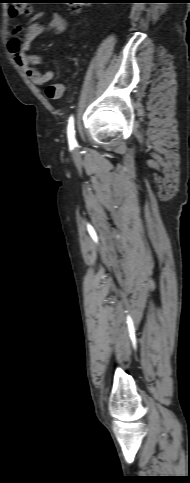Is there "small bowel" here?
Listing matches in <instances>:
<instances>
[{"label":"small bowel","instance_id":"1","mask_svg":"<svg viewBox=\"0 0 190 483\" xmlns=\"http://www.w3.org/2000/svg\"><path fill=\"white\" fill-rule=\"evenodd\" d=\"M45 13L33 15L26 29L16 26L11 32V38L7 43V49L16 64L23 69L29 80L37 85L44 86L53 78V72H40L34 66L41 65L44 60L39 55L29 53L33 40L47 30H52L56 34H61L66 30V21L57 13H52L48 23L42 22ZM64 91L61 83L50 84L46 88V95L51 99L59 98Z\"/></svg>","mask_w":190,"mask_h":483}]
</instances>
